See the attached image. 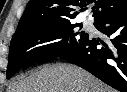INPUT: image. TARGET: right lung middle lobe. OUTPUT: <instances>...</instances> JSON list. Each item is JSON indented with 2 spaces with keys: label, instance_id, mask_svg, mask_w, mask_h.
<instances>
[{
  "label": "right lung middle lobe",
  "instance_id": "dd1d6c3e",
  "mask_svg": "<svg viewBox=\"0 0 127 92\" xmlns=\"http://www.w3.org/2000/svg\"><path fill=\"white\" fill-rule=\"evenodd\" d=\"M81 24L38 26L11 40L7 79L23 66L60 57L85 42L89 35Z\"/></svg>",
  "mask_w": 127,
  "mask_h": 92
}]
</instances>
